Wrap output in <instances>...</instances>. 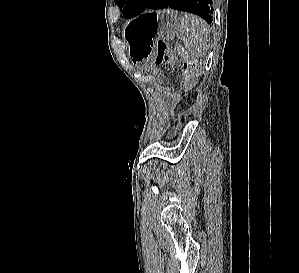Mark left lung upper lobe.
<instances>
[{
  "mask_svg": "<svg viewBox=\"0 0 299 273\" xmlns=\"http://www.w3.org/2000/svg\"><path fill=\"white\" fill-rule=\"evenodd\" d=\"M149 0H115L119 7H123V15L126 18L141 14L146 9Z\"/></svg>",
  "mask_w": 299,
  "mask_h": 273,
  "instance_id": "5c2ea615",
  "label": "left lung upper lobe"
}]
</instances>
